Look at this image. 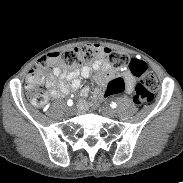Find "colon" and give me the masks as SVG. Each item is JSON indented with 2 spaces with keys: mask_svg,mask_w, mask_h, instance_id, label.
<instances>
[{
  "mask_svg": "<svg viewBox=\"0 0 183 183\" xmlns=\"http://www.w3.org/2000/svg\"><path fill=\"white\" fill-rule=\"evenodd\" d=\"M99 58L106 59L116 69L129 66L132 73L139 79L133 95V101L136 105L142 106L153 100L159 83L155 75L148 70L144 61L138 59L130 60L124 53L102 48L95 44H88L62 52L50 53L40 58L33 69L30 70L28 76L26 92L30 102L36 107H42L47 101L44 89L37 83L38 77L43 71L51 69L54 65L62 69L77 67L84 62ZM126 90L127 85L124 78H113L104 91V98L123 94Z\"/></svg>",
  "mask_w": 183,
  "mask_h": 183,
  "instance_id": "colon-1",
  "label": "colon"
}]
</instances>
